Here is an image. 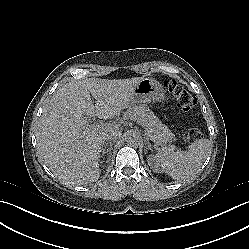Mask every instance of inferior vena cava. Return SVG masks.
<instances>
[{
	"label": "inferior vena cava",
	"instance_id": "602c4592",
	"mask_svg": "<svg viewBox=\"0 0 249 249\" xmlns=\"http://www.w3.org/2000/svg\"><path fill=\"white\" fill-rule=\"evenodd\" d=\"M119 135H120V132L112 131V132H109V133H105L102 139L104 140V142L105 141H110V140L115 141V140L118 139Z\"/></svg>",
	"mask_w": 249,
	"mask_h": 249
}]
</instances>
